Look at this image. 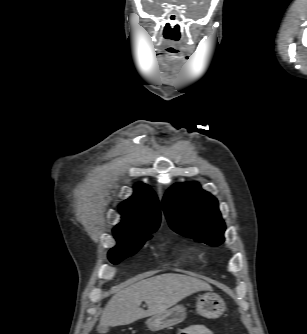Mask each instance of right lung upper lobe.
<instances>
[{"instance_id":"cb5924a9","label":"right lung upper lobe","mask_w":307,"mask_h":334,"mask_svg":"<svg viewBox=\"0 0 307 334\" xmlns=\"http://www.w3.org/2000/svg\"><path fill=\"white\" fill-rule=\"evenodd\" d=\"M121 211L122 222L113 229L115 237L133 236L159 227V202L145 184L135 186L133 196L121 204Z\"/></svg>"}]
</instances>
